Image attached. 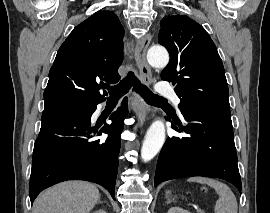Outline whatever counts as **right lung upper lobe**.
<instances>
[{
	"mask_svg": "<svg viewBox=\"0 0 270 213\" xmlns=\"http://www.w3.org/2000/svg\"><path fill=\"white\" fill-rule=\"evenodd\" d=\"M124 29L111 11H98L76 26L57 52L44 91V107L63 102L93 104L105 99L103 82L120 80Z\"/></svg>",
	"mask_w": 270,
	"mask_h": 213,
	"instance_id": "cb5924a9",
	"label": "right lung upper lobe"
}]
</instances>
